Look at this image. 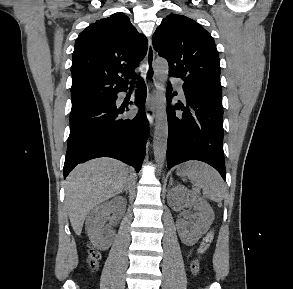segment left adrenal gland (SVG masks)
I'll return each mask as SVG.
<instances>
[{
	"instance_id": "obj_1",
	"label": "left adrenal gland",
	"mask_w": 293,
	"mask_h": 289,
	"mask_svg": "<svg viewBox=\"0 0 293 289\" xmlns=\"http://www.w3.org/2000/svg\"><path fill=\"white\" fill-rule=\"evenodd\" d=\"M172 183H173V178H172V176L170 177V181H169V187L172 185Z\"/></svg>"
}]
</instances>
